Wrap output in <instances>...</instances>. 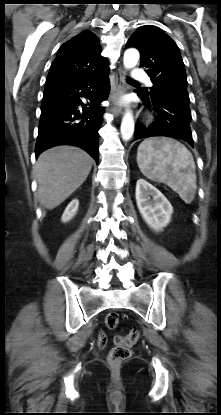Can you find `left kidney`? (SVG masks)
<instances>
[{
	"mask_svg": "<svg viewBox=\"0 0 221 415\" xmlns=\"http://www.w3.org/2000/svg\"><path fill=\"white\" fill-rule=\"evenodd\" d=\"M135 195L142 218L150 228L160 231L169 224L173 207L157 188L146 180L139 179L136 183Z\"/></svg>",
	"mask_w": 221,
	"mask_h": 415,
	"instance_id": "obj_1",
	"label": "left kidney"
}]
</instances>
